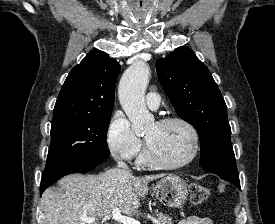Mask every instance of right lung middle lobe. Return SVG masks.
<instances>
[{
    "label": "right lung middle lobe",
    "instance_id": "dd1d6c3e",
    "mask_svg": "<svg viewBox=\"0 0 275 224\" xmlns=\"http://www.w3.org/2000/svg\"><path fill=\"white\" fill-rule=\"evenodd\" d=\"M110 117L111 113L53 118L44 171L110 154L106 142Z\"/></svg>",
    "mask_w": 275,
    "mask_h": 224
}]
</instances>
